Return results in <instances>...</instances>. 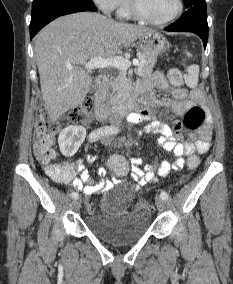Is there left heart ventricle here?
I'll use <instances>...</instances> for the list:
<instances>
[{
    "mask_svg": "<svg viewBox=\"0 0 233 284\" xmlns=\"http://www.w3.org/2000/svg\"><path fill=\"white\" fill-rule=\"evenodd\" d=\"M141 9L149 17L163 20L171 16L177 7L176 0H138Z\"/></svg>",
    "mask_w": 233,
    "mask_h": 284,
    "instance_id": "left-heart-ventricle-1",
    "label": "left heart ventricle"
}]
</instances>
